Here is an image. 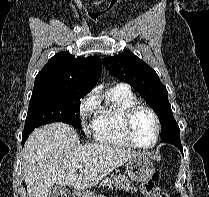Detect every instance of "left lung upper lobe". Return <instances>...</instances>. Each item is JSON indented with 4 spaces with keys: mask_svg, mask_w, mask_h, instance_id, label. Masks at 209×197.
Here are the masks:
<instances>
[{
    "mask_svg": "<svg viewBox=\"0 0 209 197\" xmlns=\"http://www.w3.org/2000/svg\"><path fill=\"white\" fill-rule=\"evenodd\" d=\"M102 63L114 76L141 93L157 113L161 123V141H180V129L172 114L168 91L157 73L130 51L104 58Z\"/></svg>",
    "mask_w": 209,
    "mask_h": 197,
    "instance_id": "5c2ea615",
    "label": "left lung upper lobe"
}]
</instances>
